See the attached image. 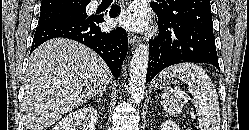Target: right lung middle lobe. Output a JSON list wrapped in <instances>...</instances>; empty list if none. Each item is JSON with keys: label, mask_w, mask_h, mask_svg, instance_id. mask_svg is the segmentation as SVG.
<instances>
[{"label": "right lung middle lobe", "mask_w": 249, "mask_h": 130, "mask_svg": "<svg viewBox=\"0 0 249 130\" xmlns=\"http://www.w3.org/2000/svg\"><path fill=\"white\" fill-rule=\"evenodd\" d=\"M88 3L82 2L75 7L58 10H41L39 25L51 22H58L64 20H73L79 18H86V6Z\"/></svg>", "instance_id": "dd1d6c3e"}]
</instances>
